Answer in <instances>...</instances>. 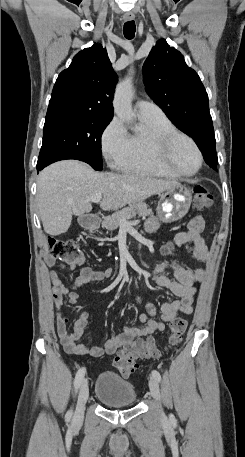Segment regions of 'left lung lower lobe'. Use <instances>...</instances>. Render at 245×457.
Masks as SVG:
<instances>
[{"instance_id":"1","label":"left lung lower lobe","mask_w":245,"mask_h":457,"mask_svg":"<svg viewBox=\"0 0 245 457\" xmlns=\"http://www.w3.org/2000/svg\"><path fill=\"white\" fill-rule=\"evenodd\" d=\"M196 144L201 150L205 162L213 169H216L218 158L215 149L216 143L214 131H211L210 133L202 137L200 140H197Z\"/></svg>"}]
</instances>
